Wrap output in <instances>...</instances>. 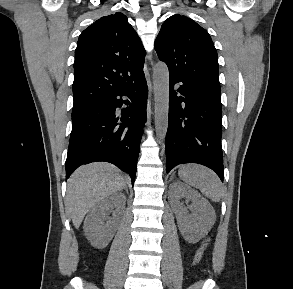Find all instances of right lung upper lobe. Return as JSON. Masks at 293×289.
<instances>
[{"label":"right lung upper lobe","instance_id":"right-lung-upper-lobe-1","mask_svg":"<svg viewBox=\"0 0 293 289\" xmlns=\"http://www.w3.org/2000/svg\"><path fill=\"white\" fill-rule=\"evenodd\" d=\"M146 51L123 13L101 17L79 36L75 50L74 105L92 104L135 83Z\"/></svg>","mask_w":293,"mask_h":289}]
</instances>
